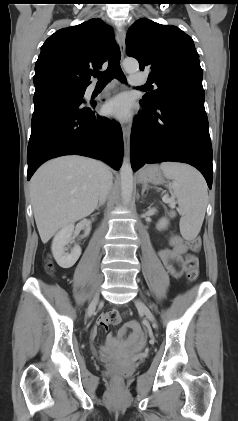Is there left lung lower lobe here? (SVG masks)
<instances>
[{
    "mask_svg": "<svg viewBox=\"0 0 238 421\" xmlns=\"http://www.w3.org/2000/svg\"><path fill=\"white\" fill-rule=\"evenodd\" d=\"M204 99L203 87L190 86L163 96L154 108L144 106L146 112L138 113L131 133L133 171L145 163H188L211 189L213 153Z\"/></svg>",
    "mask_w": 238,
    "mask_h": 421,
    "instance_id": "left-lung-lower-lobe-1",
    "label": "left lung lower lobe"
}]
</instances>
